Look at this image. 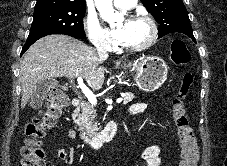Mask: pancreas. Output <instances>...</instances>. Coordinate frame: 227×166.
Wrapping results in <instances>:
<instances>
[{
    "instance_id": "pancreas-1",
    "label": "pancreas",
    "mask_w": 227,
    "mask_h": 166,
    "mask_svg": "<svg viewBox=\"0 0 227 166\" xmlns=\"http://www.w3.org/2000/svg\"><path fill=\"white\" fill-rule=\"evenodd\" d=\"M134 98L133 93H125L123 97V104H127L132 101ZM81 114H79V118L76 121L77 125L81 127L86 133L90 136L96 135L98 131L97 123L95 121L96 110L93 105L89 103H84L81 106Z\"/></svg>"
}]
</instances>
